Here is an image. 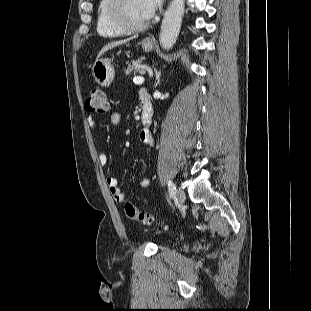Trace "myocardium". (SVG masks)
Returning a JSON list of instances; mask_svg holds the SVG:
<instances>
[{
	"label": "myocardium",
	"instance_id": "f54148a6",
	"mask_svg": "<svg viewBox=\"0 0 311 311\" xmlns=\"http://www.w3.org/2000/svg\"><path fill=\"white\" fill-rule=\"evenodd\" d=\"M125 0H109L107 13L111 21L126 33H135L145 30L149 26V20L142 24L129 23L124 15Z\"/></svg>",
	"mask_w": 311,
	"mask_h": 311
}]
</instances>
